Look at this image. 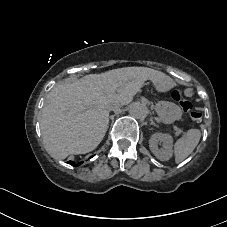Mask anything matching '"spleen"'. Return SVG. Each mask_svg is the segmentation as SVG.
Returning a JSON list of instances; mask_svg holds the SVG:
<instances>
[{"instance_id": "3e777b00", "label": "spleen", "mask_w": 227, "mask_h": 227, "mask_svg": "<svg viewBox=\"0 0 227 227\" xmlns=\"http://www.w3.org/2000/svg\"><path fill=\"white\" fill-rule=\"evenodd\" d=\"M201 138L199 129H189L185 136L178 139L174 145L175 162L185 160L196 148Z\"/></svg>"}]
</instances>
